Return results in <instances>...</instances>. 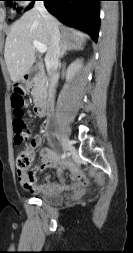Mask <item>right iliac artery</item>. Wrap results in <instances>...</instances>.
<instances>
[{
  "instance_id": "82829eb1",
  "label": "right iliac artery",
  "mask_w": 133,
  "mask_h": 253,
  "mask_svg": "<svg viewBox=\"0 0 133 253\" xmlns=\"http://www.w3.org/2000/svg\"><path fill=\"white\" fill-rule=\"evenodd\" d=\"M65 157V154H62V158H64Z\"/></svg>"
}]
</instances>
